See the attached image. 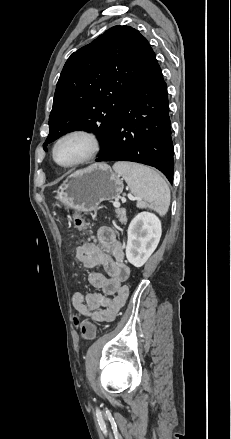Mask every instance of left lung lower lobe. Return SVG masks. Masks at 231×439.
Masks as SVG:
<instances>
[{
    "instance_id": "1",
    "label": "left lung lower lobe",
    "mask_w": 231,
    "mask_h": 439,
    "mask_svg": "<svg viewBox=\"0 0 231 439\" xmlns=\"http://www.w3.org/2000/svg\"><path fill=\"white\" fill-rule=\"evenodd\" d=\"M167 85L153 52L126 98L99 161H132L153 166L173 182V143Z\"/></svg>"
}]
</instances>
